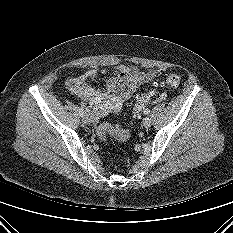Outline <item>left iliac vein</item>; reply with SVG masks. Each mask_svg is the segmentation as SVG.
Instances as JSON below:
<instances>
[{
    "label": "left iliac vein",
    "mask_w": 233,
    "mask_h": 233,
    "mask_svg": "<svg viewBox=\"0 0 233 233\" xmlns=\"http://www.w3.org/2000/svg\"><path fill=\"white\" fill-rule=\"evenodd\" d=\"M151 119L150 118H148V117H146V118H144L143 119V126L145 127V128H149L150 126H151Z\"/></svg>",
    "instance_id": "obj_1"
}]
</instances>
